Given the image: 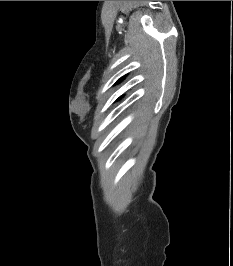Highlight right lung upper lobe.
I'll list each match as a JSON object with an SVG mask.
<instances>
[{"mask_svg":"<svg viewBox=\"0 0 233 266\" xmlns=\"http://www.w3.org/2000/svg\"><path fill=\"white\" fill-rule=\"evenodd\" d=\"M123 78H124V77L120 78V79L117 81V83H119Z\"/></svg>","mask_w":233,"mask_h":266,"instance_id":"cb5924a9","label":"right lung upper lobe"}]
</instances>
